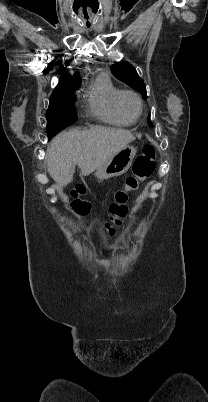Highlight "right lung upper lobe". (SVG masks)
Returning a JSON list of instances; mask_svg holds the SVG:
<instances>
[{
	"label": "right lung upper lobe",
	"mask_w": 208,
	"mask_h": 402,
	"mask_svg": "<svg viewBox=\"0 0 208 402\" xmlns=\"http://www.w3.org/2000/svg\"><path fill=\"white\" fill-rule=\"evenodd\" d=\"M81 83V78L79 73H75L73 76L66 73L61 76L58 85L54 89L51 96L71 92L78 88L79 84Z\"/></svg>",
	"instance_id": "cb5924a9"
}]
</instances>
